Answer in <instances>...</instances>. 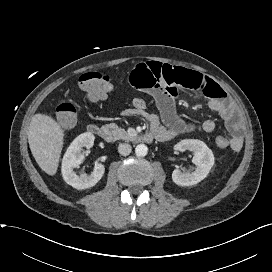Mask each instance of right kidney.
<instances>
[{
    "instance_id": "obj_1",
    "label": "right kidney",
    "mask_w": 272,
    "mask_h": 272,
    "mask_svg": "<svg viewBox=\"0 0 272 272\" xmlns=\"http://www.w3.org/2000/svg\"><path fill=\"white\" fill-rule=\"evenodd\" d=\"M95 137L91 133H83L77 136L68 147L62 159V175L65 182L72 187L82 190L93 187L102 178L105 167L101 163H95L91 174L77 175L73 170L84 161L82 148H91Z\"/></svg>"
}]
</instances>
